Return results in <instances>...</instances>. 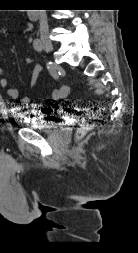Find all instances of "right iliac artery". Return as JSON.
I'll return each instance as SVG.
<instances>
[{
    "label": "right iliac artery",
    "instance_id": "right-iliac-artery-1",
    "mask_svg": "<svg viewBox=\"0 0 138 253\" xmlns=\"http://www.w3.org/2000/svg\"><path fill=\"white\" fill-rule=\"evenodd\" d=\"M33 46H34V49L39 52V53H42L43 52V44H42V41L40 39H35L34 42H33ZM50 68V72L52 73L53 77L55 79L58 78V75L55 71H53V69L49 66Z\"/></svg>",
    "mask_w": 138,
    "mask_h": 253
}]
</instances>
